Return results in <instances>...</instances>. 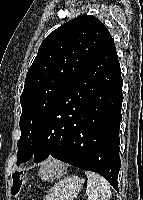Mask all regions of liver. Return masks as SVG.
<instances>
[{
    "instance_id": "1",
    "label": "liver",
    "mask_w": 143,
    "mask_h": 200,
    "mask_svg": "<svg viewBox=\"0 0 143 200\" xmlns=\"http://www.w3.org/2000/svg\"><path fill=\"white\" fill-rule=\"evenodd\" d=\"M56 165L60 166V169L57 170V175H59L62 170H61V165L59 163H57L56 161H53ZM51 163V161H47L46 163L43 164L42 168L40 169L39 175L43 178V179H52L54 177V175L51 174V172H46L45 169L47 168V166ZM56 175V174H55Z\"/></svg>"
}]
</instances>
